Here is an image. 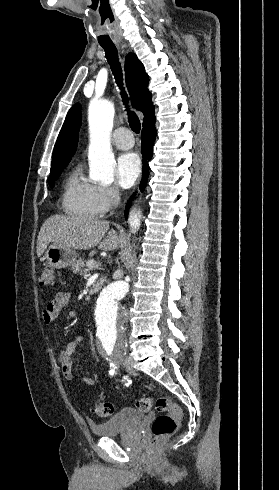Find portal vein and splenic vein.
Wrapping results in <instances>:
<instances>
[{
	"instance_id": "obj_1",
	"label": "portal vein and splenic vein",
	"mask_w": 279,
	"mask_h": 490,
	"mask_svg": "<svg viewBox=\"0 0 279 490\" xmlns=\"http://www.w3.org/2000/svg\"><path fill=\"white\" fill-rule=\"evenodd\" d=\"M88 268H95V262H87Z\"/></svg>"
}]
</instances>
